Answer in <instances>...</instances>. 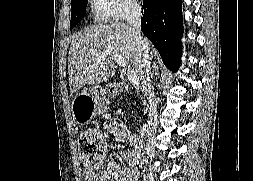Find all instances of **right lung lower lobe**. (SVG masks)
Segmentation results:
<instances>
[{
    "label": "right lung lower lobe",
    "mask_w": 253,
    "mask_h": 181,
    "mask_svg": "<svg viewBox=\"0 0 253 181\" xmlns=\"http://www.w3.org/2000/svg\"><path fill=\"white\" fill-rule=\"evenodd\" d=\"M141 30L159 51L165 66L177 71L183 35L181 0H143Z\"/></svg>",
    "instance_id": "1"
}]
</instances>
